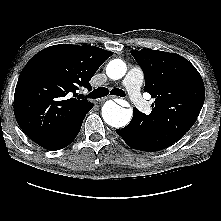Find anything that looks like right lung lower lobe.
Wrapping results in <instances>:
<instances>
[{
	"label": "right lung lower lobe",
	"instance_id": "right-lung-lower-lobe-1",
	"mask_svg": "<svg viewBox=\"0 0 221 221\" xmlns=\"http://www.w3.org/2000/svg\"><path fill=\"white\" fill-rule=\"evenodd\" d=\"M83 122V121H82ZM82 122H80L72 131H70L67 135H65L64 137L58 139L57 141L45 146L44 148L50 150V151H55V150H59L62 149L66 146H68L78 135L81 126H82Z\"/></svg>",
	"mask_w": 221,
	"mask_h": 221
}]
</instances>
